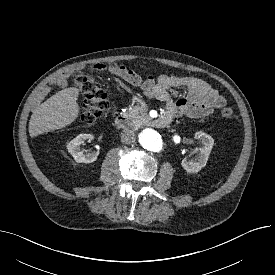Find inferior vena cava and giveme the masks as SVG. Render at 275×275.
Segmentation results:
<instances>
[{
    "instance_id": "602c4592",
    "label": "inferior vena cava",
    "mask_w": 275,
    "mask_h": 275,
    "mask_svg": "<svg viewBox=\"0 0 275 275\" xmlns=\"http://www.w3.org/2000/svg\"><path fill=\"white\" fill-rule=\"evenodd\" d=\"M121 141L125 144H130L135 142V133L131 129H125L123 133H121Z\"/></svg>"
}]
</instances>
